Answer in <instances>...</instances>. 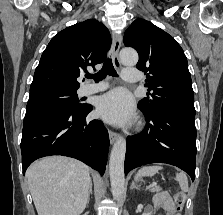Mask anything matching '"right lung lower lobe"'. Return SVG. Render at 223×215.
Returning a JSON list of instances; mask_svg holds the SVG:
<instances>
[{
  "mask_svg": "<svg viewBox=\"0 0 223 215\" xmlns=\"http://www.w3.org/2000/svg\"><path fill=\"white\" fill-rule=\"evenodd\" d=\"M92 106L81 110H56L24 118L21 140L22 166L25 174L36 159L64 155L83 161L104 174L109 136L99 120L86 122Z\"/></svg>",
  "mask_w": 223,
  "mask_h": 215,
  "instance_id": "obj_1",
  "label": "right lung lower lobe"
}]
</instances>
